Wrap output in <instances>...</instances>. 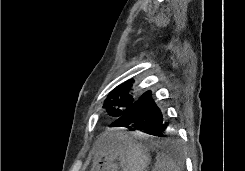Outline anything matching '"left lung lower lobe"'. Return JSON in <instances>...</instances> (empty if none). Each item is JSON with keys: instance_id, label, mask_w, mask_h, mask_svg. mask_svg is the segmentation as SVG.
I'll return each instance as SVG.
<instances>
[{"instance_id": "left-lung-lower-lobe-1", "label": "left lung lower lobe", "mask_w": 245, "mask_h": 171, "mask_svg": "<svg viewBox=\"0 0 245 171\" xmlns=\"http://www.w3.org/2000/svg\"><path fill=\"white\" fill-rule=\"evenodd\" d=\"M168 123L163 109L145 92L130 109L110 127H127L130 130H145L147 134L163 137Z\"/></svg>"}]
</instances>
